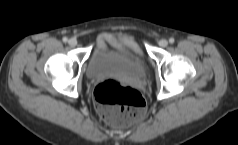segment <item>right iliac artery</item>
Wrapping results in <instances>:
<instances>
[{"instance_id":"right-iliac-artery-1","label":"right iliac artery","mask_w":238,"mask_h":145,"mask_svg":"<svg viewBox=\"0 0 238 145\" xmlns=\"http://www.w3.org/2000/svg\"><path fill=\"white\" fill-rule=\"evenodd\" d=\"M63 42H67L68 41V38L67 37H63Z\"/></svg>"}]
</instances>
